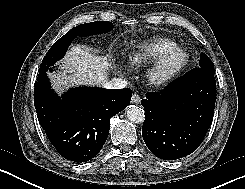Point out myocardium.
<instances>
[{"label":"myocardium","mask_w":245,"mask_h":189,"mask_svg":"<svg viewBox=\"0 0 245 189\" xmlns=\"http://www.w3.org/2000/svg\"><path fill=\"white\" fill-rule=\"evenodd\" d=\"M176 54H182L180 62L170 66L171 58ZM189 52L180 46H174L165 51L151 66L148 71V81L153 86H162L176 78L189 64Z\"/></svg>","instance_id":"1"}]
</instances>
